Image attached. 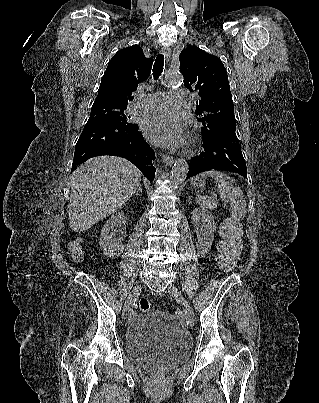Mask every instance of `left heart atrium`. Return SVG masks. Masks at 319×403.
I'll return each instance as SVG.
<instances>
[{
  "mask_svg": "<svg viewBox=\"0 0 319 403\" xmlns=\"http://www.w3.org/2000/svg\"><path fill=\"white\" fill-rule=\"evenodd\" d=\"M142 130L152 143L175 148L185 142L184 124L179 115L173 112H160L145 117Z\"/></svg>",
  "mask_w": 319,
  "mask_h": 403,
  "instance_id": "1",
  "label": "left heart atrium"
}]
</instances>
